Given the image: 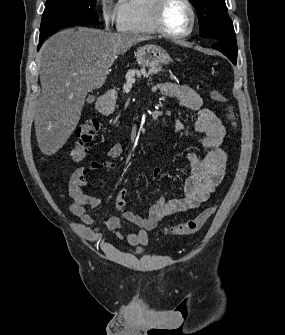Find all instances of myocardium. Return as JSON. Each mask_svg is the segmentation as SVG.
Wrapping results in <instances>:
<instances>
[{
    "mask_svg": "<svg viewBox=\"0 0 285 335\" xmlns=\"http://www.w3.org/2000/svg\"><path fill=\"white\" fill-rule=\"evenodd\" d=\"M174 2L182 3L188 9L190 15L189 25L186 28L176 31L168 27L165 19L167 8ZM155 19L157 28L162 35L168 38H182L192 31L195 23V14L189 1H157Z\"/></svg>",
    "mask_w": 285,
    "mask_h": 335,
    "instance_id": "obj_1",
    "label": "myocardium"
}]
</instances>
